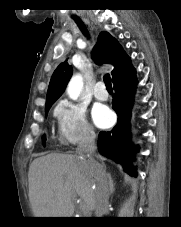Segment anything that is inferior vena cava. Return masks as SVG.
Instances as JSON below:
<instances>
[{
  "mask_svg": "<svg viewBox=\"0 0 181 227\" xmlns=\"http://www.w3.org/2000/svg\"><path fill=\"white\" fill-rule=\"evenodd\" d=\"M95 139V132L93 130H88L85 133L83 140L78 145L76 151L79 156L85 158L87 163L95 168V173L97 177L95 189V216L102 217V215L108 208L110 183L107 180V176L102 167L95 164L90 157H87L89 155H92L96 150Z\"/></svg>",
  "mask_w": 181,
  "mask_h": 227,
  "instance_id": "602c4592",
  "label": "inferior vena cava"
}]
</instances>
